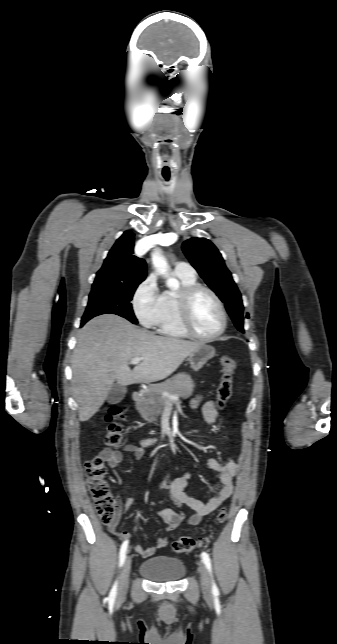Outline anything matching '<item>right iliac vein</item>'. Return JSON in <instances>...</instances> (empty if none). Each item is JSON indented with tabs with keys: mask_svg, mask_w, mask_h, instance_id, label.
Returning a JSON list of instances; mask_svg holds the SVG:
<instances>
[{
	"mask_svg": "<svg viewBox=\"0 0 337 644\" xmlns=\"http://www.w3.org/2000/svg\"><path fill=\"white\" fill-rule=\"evenodd\" d=\"M131 570V558L128 556L124 561L123 568L120 575V583L118 588V598H123L128 589L129 574Z\"/></svg>",
	"mask_w": 337,
	"mask_h": 644,
	"instance_id": "obj_1",
	"label": "right iliac vein"
}]
</instances>
